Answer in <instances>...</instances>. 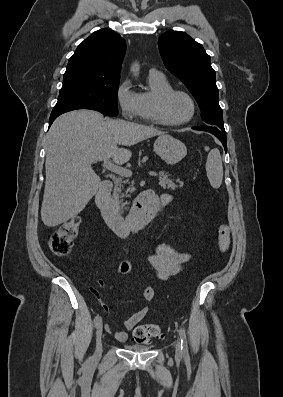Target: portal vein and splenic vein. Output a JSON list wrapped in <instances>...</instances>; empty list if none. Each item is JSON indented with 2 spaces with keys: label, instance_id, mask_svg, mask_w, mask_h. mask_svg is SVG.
<instances>
[{
  "label": "portal vein and splenic vein",
  "instance_id": "obj_1",
  "mask_svg": "<svg viewBox=\"0 0 283 397\" xmlns=\"http://www.w3.org/2000/svg\"><path fill=\"white\" fill-rule=\"evenodd\" d=\"M98 161H101V160H100V159L94 160V162H98ZM102 166H103L105 169L110 170V171H112V172H114V173H116V174H118V175H120V176L130 177V176L132 175L131 170H129V169H127V168H124V167H121V166H118V165H116V164H113V163H112L110 160H108V159L103 160ZM148 174H149L150 176H154V177H156V176L158 175L156 172H153V171H149Z\"/></svg>",
  "mask_w": 283,
  "mask_h": 397
}]
</instances>
